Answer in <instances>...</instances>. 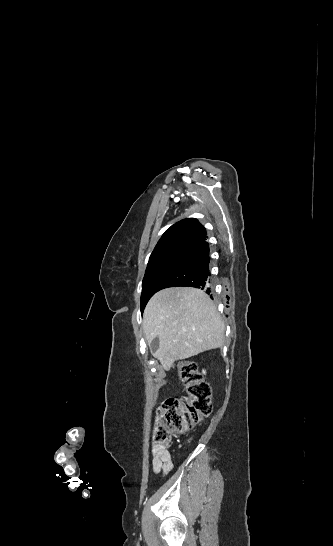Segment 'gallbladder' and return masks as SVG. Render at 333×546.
Returning <instances> with one entry per match:
<instances>
[{
  "label": "gallbladder",
  "mask_w": 333,
  "mask_h": 546,
  "mask_svg": "<svg viewBox=\"0 0 333 546\" xmlns=\"http://www.w3.org/2000/svg\"><path fill=\"white\" fill-rule=\"evenodd\" d=\"M158 348H159V339L155 338L150 345V350L154 353L158 350Z\"/></svg>",
  "instance_id": "obj_1"
}]
</instances>
